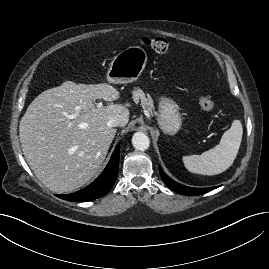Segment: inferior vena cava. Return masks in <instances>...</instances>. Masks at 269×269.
Listing matches in <instances>:
<instances>
[{
  "mask_svg": "<svg viewBox=\"0 0 269 269\" xmlns=\"http://www.w3.org/2000/svg\"><path fill=\"white\" fill-rule=\"evenodd\" d=\"M120 124H121V121L117 117H112L107 122V126L110 128L118 127L120 126Z\"/></svg>",
  "mask_w": 269,
  "mask_h": 269,
  "instance_id": "obj_1",
  "label": "inferior vena cava"
}]
</instances>
